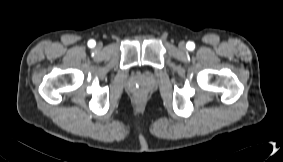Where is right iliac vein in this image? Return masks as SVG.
<instances>
[{"label": "right iliac vein", "mask_w": 283, "mask_h": 162, "mask_svg": "<svg viewBox=\"0 0 283 162\" xmlns=\"http://www.w3.org/2000/svg\"><path fill=\"white\" fill-rule=\"evenodd\" d=\"M97 47H98V48H101V47H102V44L99 43V44L97 45Z\"/></svg>", "instance_id": "1"}]
</instances>
